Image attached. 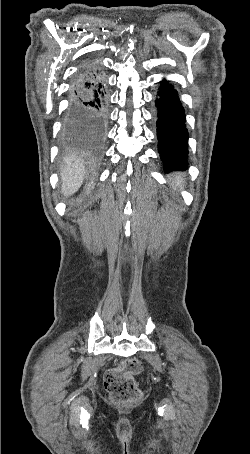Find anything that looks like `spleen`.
<instances>
[{"mask_svg": "<svg viewBox=\"0 0 250 454\" xmlns=\"http://www.w3.org/2000/svg\"><path fill=\"white\" fill-rule=\"evenodd\" d=\"M183 183H184V179H183L182 175L178 174L175 178V184L177 186H182Z\"/></svg>", "mask_w": 250, "mask_h": 454, "instance_id": "1", "label": "spleen"}]
</instances>
